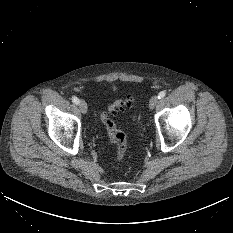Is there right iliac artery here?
<instances>
[{
  "label": "right iliac artery",
  "mask_w": 233,
  "mask_h": 233,
  "mask_svg": "<svg viewBox=\"0 0 233 233\" xmlns=\"http://www.w3.org/2000/svg\"><path fill=\"white\" fill-rule=\"evenodd\" d=\"M72 101H73V103H75L76 105L79 104V99H78L76 96H73V97H72Z\"/></svg>",
  "instance_id": "82829eb1"
}]
</instances>
